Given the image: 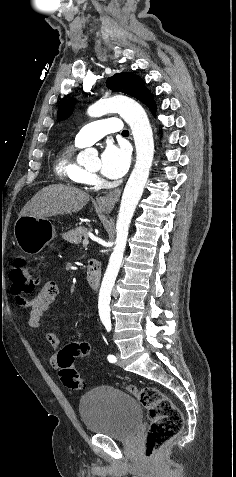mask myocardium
Segmentation results:
<instances>
[{"mask_svg": "<svg viewBox=\"0 0 236 477\" xmlns=\"http://www.w3.org/2000/svg\"><path fill=\"white\" fill-rule=\"evenodd\" d=\"M88 172H89L90 174H93V175L96 174V170L89 169Z\"/></svg>", "mask_w": 236, "mask_h": 477, "instance_id": "1", "label": "myocardium"}]
</instances>
